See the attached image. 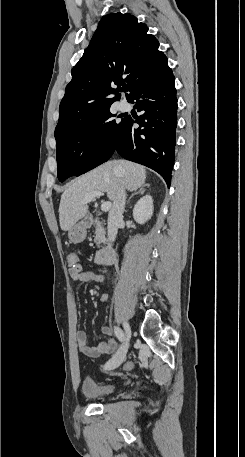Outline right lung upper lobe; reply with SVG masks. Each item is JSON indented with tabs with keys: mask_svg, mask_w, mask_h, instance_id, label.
I'll list each match as a JSON object with an SVG mask.
<instances>
[{
	"mask_svg": "<svg viewBox=\"0 0 245 457\" xmlns=\"http://www.w3.org/2000/svg\"><path fill=\"white\" fill-rule=\"evenodd\" d=\"M147 31L146 24L128 13L102 17L71 71L56 128L111 106L120 97L121 85L128 87L131 96L140 84L169 68L167 57L158 50V40ZM112 94L116 96L109 99Z\"/></svg>",
	"mask_w": 245,
	"mask_h": 457,
	"instance_id": "obj_1",
	"label": "right lung upper lobe"
}]
</instances>
